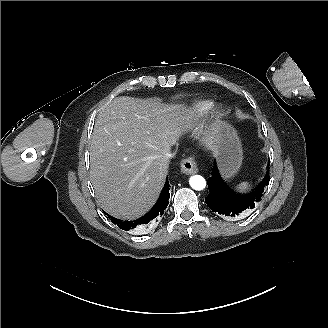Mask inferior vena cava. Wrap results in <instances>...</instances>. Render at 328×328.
Masks as SVG:
<instances>
[{
    "instance_id": "1",
    "label": "inferior vena cava",
    "mask_w": 328,
    "mask_h": 328,
    "mask_svg": "<svg viewBox=\"0 0 328 328\" xmlns=\"http://www.w3.org/2000/svg\"><path fill=\"white\" fill-rule=\"evenodd\" d=\"M176 154V151H169L168 153H166V157L169 158H173Z\"/></svg>"
}]
</instances>
